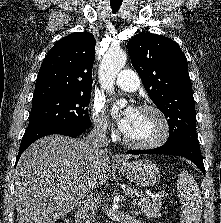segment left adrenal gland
<instances>
[{"instance_id":"left-adrenal-gland-1","label":"left adrenal gland","mask_w":221,"mask_h":223,"mask_svg":"<svg viewBox=\"0 0 221 223\" xmlns=\"http://www.w3.org/2000/svg\"><path fill=\"white\" fill-rule=\"evenodd\" d=\"M132 214H134L135 216H138V214H140V213L132 210Z\"/></svg>"}]
</instances>
